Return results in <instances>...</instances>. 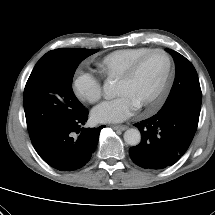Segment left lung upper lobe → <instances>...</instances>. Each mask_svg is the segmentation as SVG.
Segmentation results:
<instances>
[{
  "mask_svg": "<svg viewBox=\"0 0 215 215\" xmlns=\"http://www.w3.org/2000/svg\"><path fill=\"white\" fill-rule=\"evenodd\" d=\"M167 51L174 57L176 74L170 94L160 110L182 107L200 115L202 93L194 66L178 52L170 49Z\"/></svg>",
  "mask_w": 215,
  "mask_h": 215,
  "instance_id": "left-lung-upper-lobe-1",
  "label": "left lung upper lobe"
}]
</instances>
